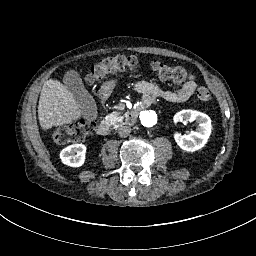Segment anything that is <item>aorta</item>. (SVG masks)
<instances>
[{
    "label": "aorta",
    "mask_w": 256,
    "mask_h": 256,
    "mask_svg": "<svg viewBox=\"0 0 256 256\" xmlns=\"http://www.w3.org/2000/svg\"><path fill=\"white\" fill-rule=\"evenodd\" d=\"M140 119L143 125L149 127L155 124L157 118L154 112L148 110L142 113Z\"/></svg>",
    "instance_id": "762f6f07"
}]
</instances>
